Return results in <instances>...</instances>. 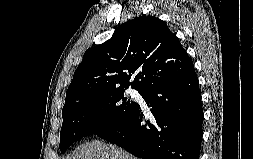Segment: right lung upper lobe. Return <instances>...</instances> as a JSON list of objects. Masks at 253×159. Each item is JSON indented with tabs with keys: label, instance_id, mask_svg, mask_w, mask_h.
Listing matches in <instances>:
<instances>
[{
	"label": "right lung upper lobe",
	"instance_id": "1",
	"mask_svg": "<svg viewBox=\"0 0 253 159\" xmlns=\"http://www.w3.org/2000/svg\"><path fill=\"white\" fill-rule=\"evenodd\" d=\"M192 69L190 57L167 24L153 16H140L122 24L105 43L85 52L67 89L65 104L97 93L124 90L129 85L141 93Z\"/></svg>",
	"mask_w": 253,
	"mask_h": 159
}]
</instances>
